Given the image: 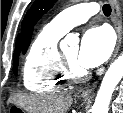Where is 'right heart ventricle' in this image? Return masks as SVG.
<instances>
[{
    "mask_svg": "<svg viewBox=\"0 0 123 113\" xmlns=\"http://www.w3.org/2000/svg\"><path fill=\"white\" fill-rule=\"evenodd\" d=\"M63 34L46 25L33 39L22 69L23 84L27 90L53 93L68 82L58 48Z\"/></svg>",
    "mask_w": 123,
    "mask_h": 113,
    "instance_id": "1",
    "label": "right heart ventricle"
}]
</instances>
